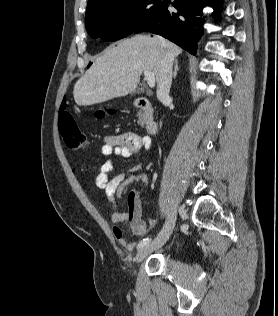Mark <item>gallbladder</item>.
<instances>
[{
    "label": "gallbladder",
    "instance_id": "gallbladder-1",
    "mask_svg": "<svg viewBox=\"0 0 278 316\" xmlns=\"http://www.w3.org/2000/svg\"><path fill=\"white\" fill-rule=\"evenodd\" d=\"M142 91H143L142 89H137V90L133 91V93H140Z\"/></svg>",
    "mask_w": 278,
    "mask_h": 316
}]
</instances>
